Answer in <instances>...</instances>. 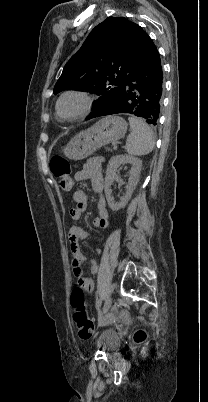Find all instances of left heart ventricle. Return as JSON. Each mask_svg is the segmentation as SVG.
<instances>
[{
  "label": "left heart ventricle",
  "instance_id": "left-heart-ventricle-1",
  "mask_svg": "<svg viewBox=\"0 0 208 402\" xmlns=\"http://www.w3.org/2000/svg\"><path fill=\"white\" fill-rule=\"evenodd\" d=\"M85 106L84 98L80 96H68L60 104V112L65 117L78 114Z\"/></svg>",
  "mask_w": 208,
  "mask_h": 402
}]
</instances>
